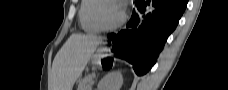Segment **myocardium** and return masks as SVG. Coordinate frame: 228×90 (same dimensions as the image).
<instances>
[{"label": "myocardium", "mask_w": 228, "mask_h": 90, "mask_svg": "<svg viewBox=\"0 0 228 90\" xmlns=\"http://www.w3.org/2000/svg\"><path fill=\"white\" fill-rule=\"evenodd\" d=\"M104 3H116L122 9L121 17L114 24L107 25V24L104 23V21L100 17V9H101V7H102V5ZM93 16H94L95 22L98 24V26L101 27L102 30H113V29H116V28L120 27L125 22V20H126V11L121 6L120 2L117 1V0H97V4H96V6L94 8Z\"/></svg>", "instance_id": "f54148a6"}]
</instances>
